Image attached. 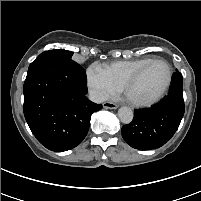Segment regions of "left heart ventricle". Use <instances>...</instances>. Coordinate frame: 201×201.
<instances>
[{
  "instance_id": "1",
  "label": "left heart ventricle",
  "mask_w": 201,
  "mask_h": 201,
  "mask_svg": "<svg viewBox=\"0 0 201 201\" xmlns=\"http://www.w3.org/2000/svg\"><path fill=\"white\" fill-rule=\"evenodd\" d=\"M167 77V66L162 62H155L131 86L129 95L137 100H148L164 87Z\"/></svg>"
}]
</instances>
